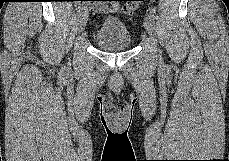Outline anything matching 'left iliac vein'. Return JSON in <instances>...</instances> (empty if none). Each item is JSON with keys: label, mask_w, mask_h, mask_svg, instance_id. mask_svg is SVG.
Here are the masks:
<instances>
[{"label": "left iliac vein", "mask_w": 229, "mask_h": 161, "mask_svg": "<svg viewBox=\"0 0 229 161\" xmlns=\"http://www.w3.org/2000/svg\"><path fill=\"white\" fill-rule=\"evenodd\" d=\"M144 26L149 36L152 39H155L156 38L155 22L154 19L149 14L144 19Z\"/></svg>", "instance_id": "1"}]
</instances>
